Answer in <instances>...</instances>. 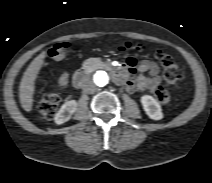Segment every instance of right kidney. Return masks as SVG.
<instances>
[{
	"label": "right kidney",
	"instance_id": "ca27d5eb",
	"mask_svg": "<svg viewBox=\"0 0 212 183\" xmlns=\"http://www.w3.org/2000/svg\"><path fill=\"white\" fill-rule=\"evenodd\" d=\"M76 109L77 102L75 100L65 102L54 117L55 123L63 124L67 122L71 118L72 114L76 111Z\"/></svg>",
	"mask_w": 212,
	"mask_h": 183
}]
</instances>
